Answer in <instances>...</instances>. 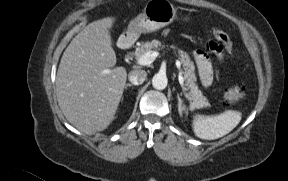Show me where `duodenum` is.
I'll return each instance as SVG.
<instances>
[{
    "label": "duodenum",
    "mask_w": 288,
    "mask_h": 181,
    "mask_svg": "<svg viewBox=\"0 0 288 181\" xmlns=\"http://www.w3.org/2000/svg\"><path fill=\"white\" fill-rule=\"evenodd\" d=\"M119 45L123 49H128L131 45V39L129 37H122L119 41Z\"/></svg>",
    "instance_id": "1"
}]
</instances>
